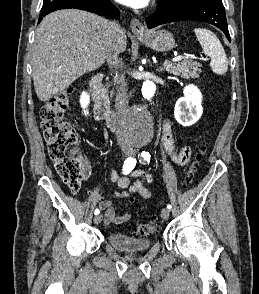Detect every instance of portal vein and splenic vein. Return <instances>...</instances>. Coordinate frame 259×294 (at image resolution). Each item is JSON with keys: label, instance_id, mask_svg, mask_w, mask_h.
<instances>
[{"label": "portal vein and splenic vein", "instance_id": "portal-vein-and-splenic-vein-1", "mask_svg": "<svg viewBox=\"0 0 259 294\" xmlns=\"http://www.w3.org/2000/svg\"><path fill=\"white\" fill-rule=\"evenodd\" d=\"M182 59H183V56H178V57L173 58L171 62H179V61H181ZM166 64H167V63H166Z\"/></svg>", "mask_w": 259, "mask_h": 294}]
</instances>
